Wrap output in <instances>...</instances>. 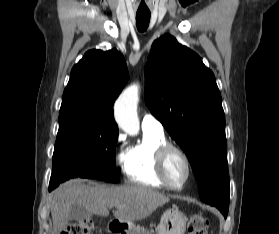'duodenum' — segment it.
<instances>
[{
	"label": "duodenum",
	"instance_id": "obj_1",
	"mask_svg": "<svg viewBox=\"0 0 279 234\" xmlns=\"http://www.w3.org/2000/svg\"><path fill=\"white\" fill-rule=\"evenodd\" d=\"M111 225H112L113 231H115V232H119L120 231L121 227H120L119 224L112 223Z\"/></svg>",
	"mask_w": 279,
	"mask_h": 234
}]
</instances>
